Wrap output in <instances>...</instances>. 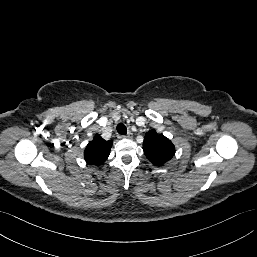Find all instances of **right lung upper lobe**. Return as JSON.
<instances>
[{"instance_id": "1", "label": "right lung upper lobe", "mask_w": 257, "mask_h": 257, "mask_svg": "<svg viewBox=\"0 0 257 257\" xmlns=\"http://www.w3.org/2000/svg\"><path fill=\"white\" fill-rule=\"evenodd\" d=\"M112 141H105L101 136L95 135L84 151V158L90 165L100 166L109 156Z\"/></svg>"}]
</instances>
